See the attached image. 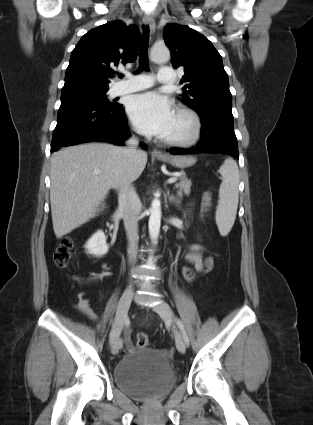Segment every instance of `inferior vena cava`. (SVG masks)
<instances>
[{"instance_id":"obj_1","label":"inferior vena cava","mask_w":313,"mask_h":425,"mask_svg":"<svg viewBox=\"0 0 313 425\" xmlns=\"http://www.w3.org/2000/svg\"><path fill=\"white\" fill-rule=\"evenodd\" d=\"M139 142L135 137L127 140V147L122 148L121 152L128 158H135L139 150H137ZM119 210L122 214L124 226L128 238V257L132 264L136 261L137 244H138V216L140 213V200L131 185L130 181H124L118 190Z\"/></svg>"}]
</instances>
